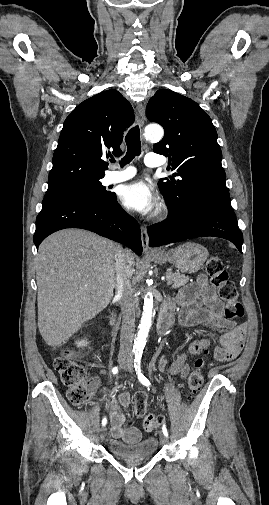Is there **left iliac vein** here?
<instances>
[{
    "label": "left iliac vein",
    "mask_w": 269,
    "mask_h": 505,
    "mask_svg": "<svg viewBox=\"0 0 269 505\" xmlns=\"http://www.w3.org/2000/svg\"><path fill=\"white\" fill-rule=\"evenodd\" d=\"M123 368L128 370L130 373H133V363L131 359H128L124 365ZM160 442L162 444H167L168 443V437L165 436L164 434L160 436Z\"/></svg>",
    "instance_id": "left-iliac-vein-1"
}]
</instances>
